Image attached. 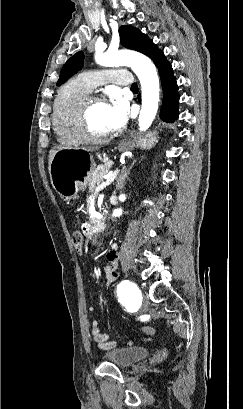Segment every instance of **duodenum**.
Returning <instances> with one entry per match:
<instances>
[{
    "instance_id": "410a0bca",
    "label": "duodenum",
    "mask_w": 243,
    "mask_h": 409,
    "mask_svg": "<svg viewBox=\"0 0 243 409\" xmlns=\"http://www.w3.org/2000/svg\"><path fill=\"white\" fill-rule=\"evenodd\" d=\"M91 228H92V230L96 233V234H100L101 232H103V230H104V225H103V223L102 222H100V221H94L92 224H91Z\"/></svg>"
}]
</instances>
